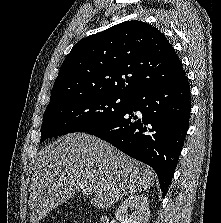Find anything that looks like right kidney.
Instances as JSON below:
<instances>
[{
	"mask_svg": "<svg viewBox=\"0 0 221 223\" xmlns=\"http://www.w3.org/2000/svg\"><path fill=\"white\" fill-rule=\"evenodd\" d=\"M128 208L132 212L128 214ZM116 219L120 223H148L150 216L149 205L147 197L144 195H130L116 210Z\"/></svg>",
	"mask_w": 221,
	"mask_h": 223,
	"instance_id": "right-kidney-1",
	"label": "right kidney"
}]
</instances>
